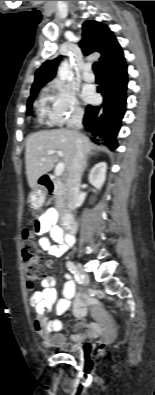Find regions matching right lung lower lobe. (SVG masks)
I'll list each match as a JSON object with an SVG mask.
<instances>
[{"label":"right lung lower lobe","instance_id":"right-lung-lower-lobe-1","mask_svg":"<svg viewBox=\"0 0 155 395\" xmlns=\"http://www.w3.org/2000/svg\"><path fill=\"white\" fill-rule=\"evenodd\" d=\"M103 84L97 91L103 96L100 106H87L83 124L95 137L103 138L110 149L117 148L116 134L125 113L127 91V65L125 60L102 69ZM95 140V138H92Z\"/></svg>","mask_w":155,"mask_h":395}]
</instances>
